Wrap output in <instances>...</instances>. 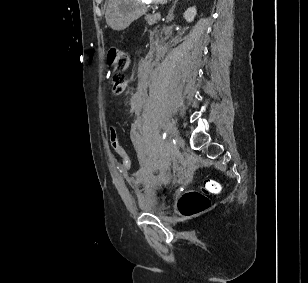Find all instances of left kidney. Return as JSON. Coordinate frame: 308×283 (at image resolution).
<instances>
[{
	"label": "left kidney",
	"instance_id": "obj_1",
	"mask_svg": "<svg viewBox=\"0 0 308 283\" xmlns=\"http://www.w3.org/2000/svg\"><path fill=\"white\" fill-rule=\"evenodd\" d=\"M197 14L196 7H190L184 12V18L187 22L191 23L194 21V18Z\"/></svg>",
	"mask_w": 308,
	"mask_h": 283
}]
</instances>
